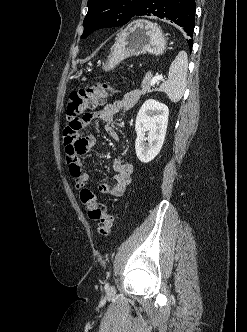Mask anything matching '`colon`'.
<instances>
[{"label": "colon", "mask_w": 247, "mask_h": 332, "mask_svg": "<svg viewBox=\"0 0 247 332\" xmlns=\"http://www.w3.org/2000/svg\"><path fill=\"white\" fill-rule=\"evenodd\" d=\"M112 93L114 88L108 83H98L71 92L66 105L65 136L80 131L85 126L86 110L102 105ZM80 198L89 218L98 222V232L104 236L110 234L113 228V216L108 213L106 206L97 202L94 192L88 188L81 191Z\"/></svg>", "instance_id": "5ec220e1"}]
</instances>
